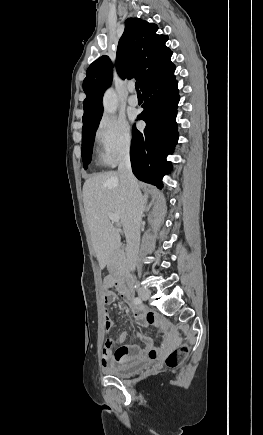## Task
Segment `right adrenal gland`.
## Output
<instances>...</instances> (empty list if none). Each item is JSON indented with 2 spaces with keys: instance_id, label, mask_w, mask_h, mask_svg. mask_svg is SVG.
Instances as JSON below:
<instances>
[{
  "instance_id": "2a0ac1e0",
  "label": "right adrenal gland",
  "mask_w": 263,
  "mask_h": 435,
  "mask_svg": "<svg viewBox=\"0 0 263 435\" xmlns=\"http://www.w3.org/2000/svg\"><path fill=\"white\" fill-rule=\"evenodd\" d=\"M144 204H147V197L144 198Z\"/></svg>"
}]
</instances>
